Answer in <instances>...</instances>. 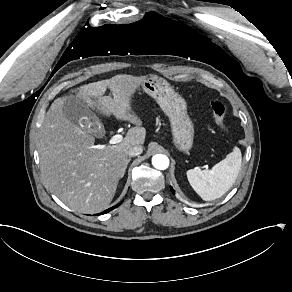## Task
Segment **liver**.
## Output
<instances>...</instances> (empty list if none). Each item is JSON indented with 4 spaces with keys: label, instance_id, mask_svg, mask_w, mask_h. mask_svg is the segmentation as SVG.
I'll return each instance as SVG.
<instances>
[{
    "label": "liver",
    "instance_id": "1",
    "mask_svg": "<svg viewBox=\"0 0 292 292\" xmlns=\"http://www.w3.org/2000/svg\"><path fill=\"white\" fill-rule=\"evenodd\" d=\"M147 77L116 75L109 80L80 85L59 96L50 106L39 131L38 153L46 186L76 212L93 214L109 207L126 173L128 152L146 138L135 111V97ZM109 90L113 99L105 96ZM82 98L99 118L112 116L135 125L115 145L95 146V137L65 116L66 98Z\"/></svg>",
    "mask_w": 292,
    "mask_h": 292
}]
</instances>
